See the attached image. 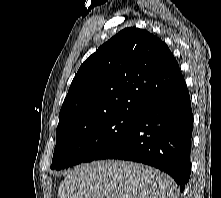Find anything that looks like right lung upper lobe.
Listing matches in <instances>:
<instances>
[{"label":"right lung upper lobe","mask_w":221,"mask_h":198,"mask_svg":"<svg viewBox=\"0 0 221 198\" xmlns=\"http://www.w3.org/2000/svg\"><path fill=\"white\" fill-rule=\"evenodd\" d=\"M182 79L162 40L147 30L126 28L79 68L62 104L56 137L113 114L139 115Z\"/></svg>","instance_id":"right-lung-upper-lobe-1"}]
</instances>
